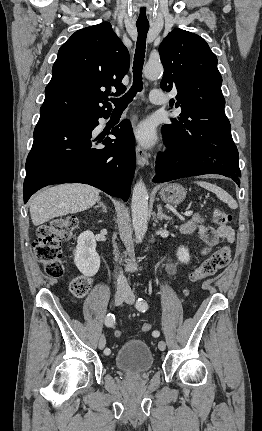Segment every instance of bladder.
Wrapping results in <instances>:
<instances>
[{
  "instance_id": "1",
  "label": "bladder",
  "mask_w": 262,
  "mask_h": 431,
  "mask_svg": "<svg viewBox=\"0 0 262 431\" xmlns=\"http://www.w3.org/2000/svg\"><path fill=\"white\" fill-rule=\"evenodd\" d=\"M115 364L126 373L142 374L151 370L154 357L144 339H132L118 349Z\"/></svg>"
}]
</instances>
